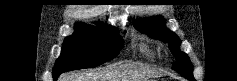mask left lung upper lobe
Returning a JSON list of instances; mask_svg holds the SVG:
<instances>
[{
	"mask_svg": "<svg viewBox=\"0 0 237 81\" xmlns=\"http://www.w3.org/2000/svg\"><path fill=\"white\" fill-rule=\"evenodd\" d=\"M135 27L151 38L159 39L166 43L168 42L170 50L177 61L173 64V70L189 80H195L189 57L179 49L181 43L180 39L175 33L165 27V20L162 17L140 19L135 23Z\"/></svg>",
	"mask_w": 237,
	"mask_h": 81,
	"instance_id": "1",
	"label": "left lung upper lobe"
}]
</instances>
